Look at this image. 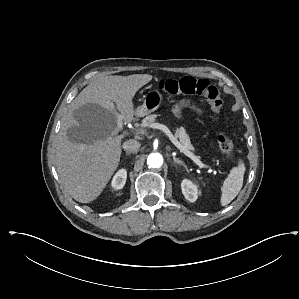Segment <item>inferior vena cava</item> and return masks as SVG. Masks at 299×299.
<instances>
[{
    "mask_svg": "<svg viewBox=\"0 0 299 299\" xmlns=\"http://www.w3.org/2000/svg\"><path fill=\"white\" fill-rule=\"evenodd\" d=\"M122 147L129 153H137L140 148V143L134 139H130L125 141Z\"/></svg>",
    "mask_w": 299,
    "mask_h": 299,
    "instance_id": "602c4592",
    "label": "inferior vena cava"
}]
</instances>
